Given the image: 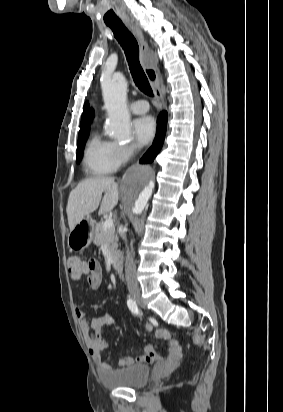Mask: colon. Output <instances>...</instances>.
I'll use <instances>...</instances> for the list:
<instances>
[{"mask_svg":"<svg viewBox=\"0 0 283 412\" xmlns=\"http://www.w3.org/2000/svg\"><path fill=\"white\" fill-rule=\"evenodd\" d=\"M67 268L70 276L78 280L83 275L96 269V261L94 259L83 261L78 257H72L67 261Z\"/></svg>","mask_w":283,"mask_h":412,"instance_id":"obj_1","label":"colon"}]
</instances>
